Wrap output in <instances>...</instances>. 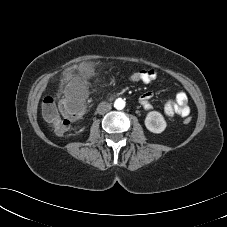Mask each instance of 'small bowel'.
<instances>
[{
  "label": "small bowel",
  "instance_id": "obj_1",
  "mask_svg": "<svg viewBox=\"0 0 227 227\" xmlns=\"http://www.w3.org/2000/svg\"><path fill=\"white\" fill-rule=\"evenodd\" d=\"M143 80L145 84H150L158 78V72L155 69H142ZM153 94L151 92H146L140 97V104L145 110H151L152 104L151 99ZM190 113V108L188 106V97L184 92H178L173 99L166 101L164 105V113L167 117L171 118L175 115L182 116L183 113Z\"/></svg>",
  "mask_w": 227,
  "mask_h": 227
}]
</instances>
